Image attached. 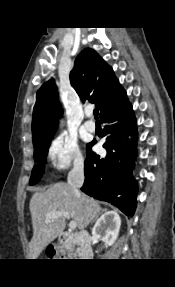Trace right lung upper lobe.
<instances>
[{"label": "right lung upper lobe", "mask_w": 175, "mask_h": 287, "mask_svg": "<svg viewBox=\"0 0 175 287\" xmlns=\"http://www.w3.org/2000/svg\"><path fill=\"white\" fill-rule=\"evenodd\" d=\"M70 82L82 101L95 103L100 117L127 100L126 92L110 67L94 50L84 49L76 58ZM55 80L44 83L36 95L33 110V143L53 136L63 110Z\"/></svg>", "instance_id": "right-lung-upper-lobe-1"}]
</instances>
